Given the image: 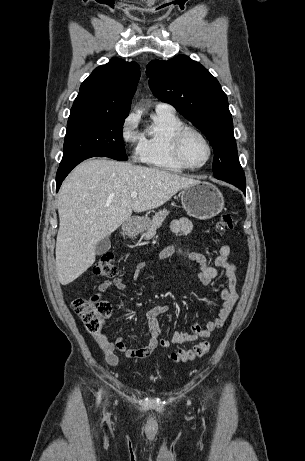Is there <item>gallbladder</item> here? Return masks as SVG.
Returning <instances> with one entry per match:
<instances>
[{
    "label": "gallbladder",
    "instance_id": "1",
    "mask_svg": "<svg viewBox=\"0 0 305 461\" xmlns=\"http://www.w3.org/2000/svg\"><path fill=\"white\" fill-rule=\"evenodd\" d=\"M110 248H111V241L109 239V236H107L98 242L95 251L97 255H102L108 252Z\"/></svg>",
    "mask_w": 305,
    "mask_h": 461
}]
</instances>
